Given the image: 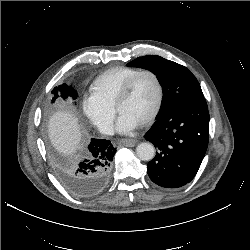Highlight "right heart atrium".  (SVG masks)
I'll return each mask as SVG.
<instances>
[{
	"instance_id": "right-heart-atrium-1",
	"label": "right heart atrium",
	"mask_w": 250,
	"mask_h": 250,
	"mask_svg": "<svg viewBox=\"0 0 250 250\" xmlns=\"http://www.w3.org/2000/svg\"><path fill=\"white\" fill-rule=\"evenodd\" d=\"M84 118L100 132H110L114 119L113 108L105 107L91 96L85 98L82 104Z\"/></svg>"
}]
</instances>
